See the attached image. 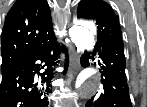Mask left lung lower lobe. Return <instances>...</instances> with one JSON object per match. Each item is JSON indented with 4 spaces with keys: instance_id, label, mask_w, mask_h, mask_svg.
<instances>
[{
    "instance_id": "1",
    "label": "left lung lower lobe",
    "mask_w": 147,
    "mask_h": 107,
    "mask_svg": "<svg viewBox=\"0 0 147 107\" xmlns=\"http://www.w3.org/2000/svg\"><path fill=\"white\" fill-rule=\"evenodd\" d=\"M99 54L98 64L103 70L102 86L90 100L86 107H132L129 88L125 77V55L122 40L110 42L94 50ZM92 58V57H91ZM89 56H81L83 67L89 65Z\"/></svg>"
}]
</instances>
